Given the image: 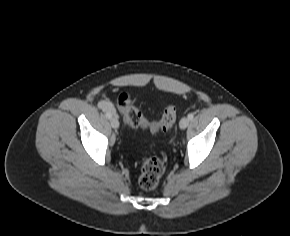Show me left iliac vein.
<instances>
[{"label":"left iliac vein","instance_id":"4c4485c4","mask_svg":"<svg viewBox=\"0 0 290 236\" xmlns=\"http://www.w3.org/2000/svg\"><path fill=\"white\" fill-rule=\"evenodd\" d=\"M189 119H188V117H183L181 120H180V122H179V127L181 128V129H185V128H187V126L189 125Z\"/></svg>","mask_w":290,"mask_h":236}]
</instances>
